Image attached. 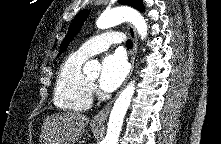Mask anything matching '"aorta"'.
I'll return each instance as SVG.
<instances>
[{"instance_id":"762f6f07","label":"aorta","mask_w":221,"mask_h":144,"mask_svg":"<svg viewBox=\"0 0 221 144\" xmlns=\"http://www.w3.org/2000/svg\"><path fill=\"white\" fill-rule=\"evenodd\" d=\"M123 22L132 23L141 39L146 38L147 23L144 17L138 11L129 7H116L112 10L103 12L98 17L96 26L99 29H108ZM83 70L86 74L97 75L100 70V64L97 60L87 61ZM134 92L135 81H131L115 101L109 116L105 144H118L123 120Z\"/></svg>"}]
</instances>
